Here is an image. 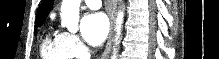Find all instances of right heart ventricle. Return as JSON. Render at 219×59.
I'll return each mask as SVG.
<instances>
[{
	"label": "right heart ventricle",
	"mask_w": 219,
	"mask_h": 59,
	"mask_svg": "<svg viewBox=\"0 0 219 59\" xmlns=\"http://www.w3.org/2000/svg\"><path fill=\"white\" fill-rule=\"evenodd\" d=\"M42 59H72L74 56L67 46L65 34L59 31L48 32L40 45Z\"/></svg>",
	"instance_id": "obj_1"
}]
</instances>
